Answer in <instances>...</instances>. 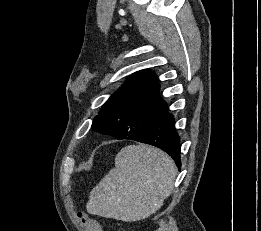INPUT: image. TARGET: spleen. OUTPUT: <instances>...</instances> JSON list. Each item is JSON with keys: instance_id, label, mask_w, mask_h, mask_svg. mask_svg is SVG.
<instances>
[{"instance_id": "3e777b00", "label": "spleen", "mask_w": 261, "mask_h": 231, "mask_svg": "<svg viewBox=\"0 0 261 231\" xmlns=\"http://www.w3.org/2000/svg\"><path fill=\"white\" fill-rule=\"evenodd\" d=\"M175 177L176 167L163 151L126 146L115 157V168L91 191L87 210L125 222L145 219L171 194Z\"/></svg>"}]
</instances>
